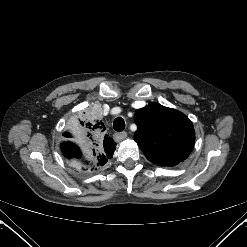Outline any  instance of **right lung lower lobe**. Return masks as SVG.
<instances>
[{"instance_id":"98d812e1","label":"right lung lower lobe","mask_w":247,"mask_h":247,"mask_svg":"<svg viewBox=\"0 0 247 247\" xmlns=\"http://www.w3.org/2000/svg\"><path fill=\"white\" fill-rule=\"evenodd\" d=\"M62 150L67 158L72 159L84 166V159L79 151L78 145L72 142H67L63 144Z\"/></svg>"}]
</instances>
